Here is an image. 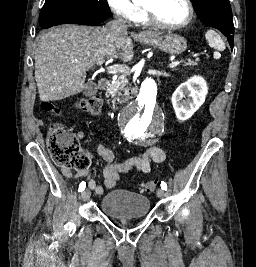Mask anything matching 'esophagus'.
I'll list each match as a JSON object with an SVG mask.
<instances>
[{"mask_svg":"<svg viewBox=\"0 0 256 267\" xmlns=\"http://www.w3.org/2000/svg\"><path fill=\"white\" fill-rule=\"evenodd\" d=\"M139 36H147V34L144 32H141V33H139Z\"/></svg>","mask_w":256,"mask_h":267,"instance_id":"34e87169","label":"esophagus"}]
</instances>
